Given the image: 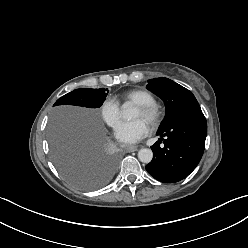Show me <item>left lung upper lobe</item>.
Here are the masks:
<instances>
[{"mask_svg":"<svg viewBox=\"0 0 248 248\" xmlns=\"http://www.w3.org/2000/svg\"><path fill=\"white\" fill-rule=\"evenodd\" d=\"M146 88L162 98L166 106V114L158 130L170 124L185 108L198 103L191 91L164 77L148 80Z\"/></svg>","mask_w":248,"mask_h":248,"instance_id":"left-lung-upper-lobe-1","label":"left lung upper lobe"}]
</instances>
